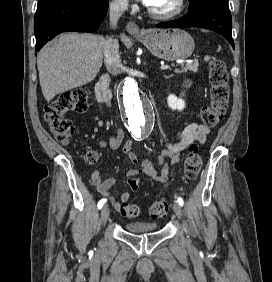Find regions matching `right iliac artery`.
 Wrapping results in <instances>:
<instances>
[{
	"label": "right iliac artery",
	"mask_w": 272,
	"mask_h": 282,
	"mask_svg": "<svg viewBox=\"0 0 272 282\" xmlns=\"http://www.w3.org/2000/svg\"><path fill=\"white\" fill-rule=\"evenodd\" d=\"M105 203H106V199L105 198L101 199L97 205L98 209H101Z\"/></svg>",
	"instance_id": "right-iliac-artery-1"
}]
</instances>
